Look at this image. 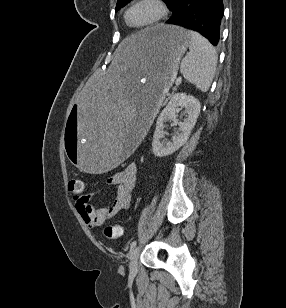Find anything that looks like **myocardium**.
Wrapping results in <instances>:
<instances>
[{
	"label": "myocardium",
	"instance_id": "f54148a6",
	"mask_svg": "<svg viewBox=\"0 0 286 308\" xmlns=\"http://www.w3.org/2000/svg\"><path fill=\"white\" fill-rule=\"evenodd\" d=\"M142 2L153 3L158 9V14L152 21H150L146 24L139 25V26L133 25L129 21V13L134 6H136L137 4L142 3ZM167 12H168V10H167V7H166L165 3L163 2V0H134L130 4V6L127 8L124 17H125V22L129 27H131L133 29H146V28H150V27L155 26L158 23H160L165 18V16L167 15Z\"/></svg>",
	"mask_w": 286,
	"mask_h": 308
}]
</instances>
